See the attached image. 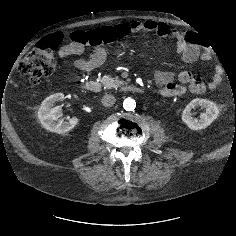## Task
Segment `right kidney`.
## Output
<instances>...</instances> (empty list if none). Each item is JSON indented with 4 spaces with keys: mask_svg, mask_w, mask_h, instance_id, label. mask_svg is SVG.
<instances>
[{
    "mask_svg": "<svg viewBox=\"0 0 236 236\" xmlns=\"http://www.w3.org/2000/svg\"><path fill=\"white\" fill-rule=\"evenodd\" d=\"M63 100V93L53 94L42 102L38 110V118L42 126L50 132H55L58 134L66 133L73 129L79 122V119L76 117L65 122H63V120L58 121V119L62 116V109L60 107L53 108V105L55 102Z\"/></svg>",
    "mask_w": 236,
    "mask_h": 236,
    "instance_id": "1",
    "label": "right kidney"
}]
</instances>
